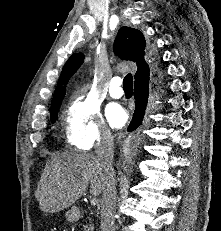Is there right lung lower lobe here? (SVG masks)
<instances>
[{"instance_id":"1","label":"right lung lower lobe","mask_w":221,"mask_h":231,"mask_svg":"<svg viewBox=\"0 0 221 231\" xmlns=\"http://www.w3.org/2000/svg\"><path fill=\"white\" fill-rule=\"evenodd\" d=\"M148 81L136 84L134 86V97L136 100V108L133 114V119L130 123V126L128 127V131L135 130L142 123L145 109L147 106V101H148V93H149Z\"/></svg>"}]
</instances>
